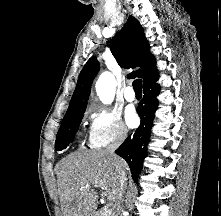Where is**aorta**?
Wrapping results in <instances>:
<instances>
[{
	"label": "aorta",
	"instance_id": "1",
	"mask_svg": "<svg viewBox=\"0 0 221 216\" xmlns=\"http://www.w3.org/2000/svg\"><path fill=\"white\" fill-rule=\"evenodd\" d=\"M96 92L104 104H111L115 96L116 80L110 72H103L96 82Z\"/></svg>",
	"mask_w": 221,
	"mask_h": 216
}]
</instances>
